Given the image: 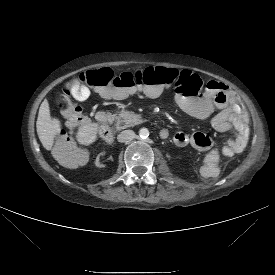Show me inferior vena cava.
Returning a JSON list of instances; mask_svg holds the SVG:
<instances>
[{"instance_id":"obj_1","label":"inferior vena cava","mask_w":275,"mask_h":275,"mask_svg":"<svg viewBox=\"0 0 275 275\" xmlns=\"http://www.w3.org/2000/svg\"><path fill=\"white\" fill-rule=\"evenodd\" d=\"M135 136V133L133 130H124L120 132V134L117 136V140L121 143L126 142L128 140H132Z\"/></svg>"}]
</instances>
